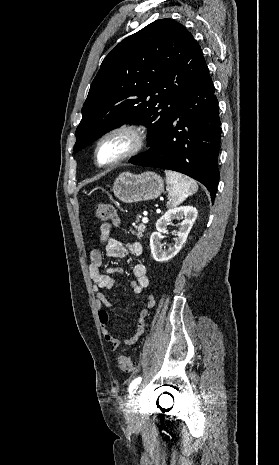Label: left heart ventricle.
I'll list each match as a JSON object with an SVG mask.
<instances>
[{"label":"left heart ventricle","mask_w":279,"mask_h":465,"mask_svg":"<svg viewBox=\"0 0 279 465\" xmlns=\"http://www.w3.org/2000/svg\"><path fill=\"white\" fill-rule=\"evenodd\" d=\"M132 144L133 139L127 133H117L108 137L100 147V161L109 162L120 157L130 149Z\"/></svg>","instance_id":"obj_1"}]
</instances>
